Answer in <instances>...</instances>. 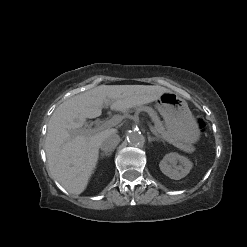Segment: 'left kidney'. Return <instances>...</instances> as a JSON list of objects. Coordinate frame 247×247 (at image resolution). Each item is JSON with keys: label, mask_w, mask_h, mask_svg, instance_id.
Here are the masks:
<instances>
[{"label": "left kidney", "mask_w": 247, "mask_h": 247, "mask_svg": "<svg viewBox=\"0 0 247 247\" xmlns=\"http://www.w3.org/2000/svg\"><path fill=\"white\" fill-rule=\"evenodd\" d=\"M192 166V162L188 158L175 152L166 154L159 164L162 173L174 180L184 178L190 172Z\"/></svg>", "instance_id": "5707ae66"}]
</instances>
